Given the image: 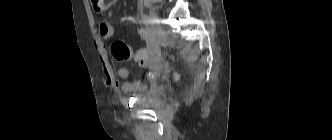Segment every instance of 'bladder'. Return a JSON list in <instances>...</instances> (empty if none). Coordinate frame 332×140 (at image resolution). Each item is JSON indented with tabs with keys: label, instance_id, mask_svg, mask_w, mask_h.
<instances>
[{
	"label": "bladder",
	"instance_id": "1",
	"mask_svg": "<svg viewBox=\"0 0 332 140\" xmlns=\"http://www.w3.org/2000/svg\"><path fill=\"white\" fill-rule=\"evenodd\" d=\"M158 94H159V90H158L157 86H155L151 91L140 96L138 98V102L141 104H150Z\"/></svg>",
	"mask_w": 332,
	"mask_h": 140
}]
</instances>
